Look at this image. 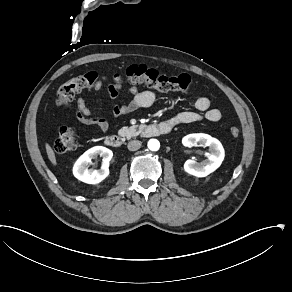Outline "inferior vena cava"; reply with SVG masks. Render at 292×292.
<instances>
[{"mask_svg": "<svg viewBox=\"0 0 292 292\" xmlns=\"http://www.w3.org/2000/svg\"><path fill=\"white\" fill-rule=\"evenodd\" d=\"M141 147V141L133 140L128 143V149L130 151H136Z\"/></svg>", "mask_w": 292, "mask_h": 292, "instance_id": "1", "label": "inferior vena cava"}]
</instances>
